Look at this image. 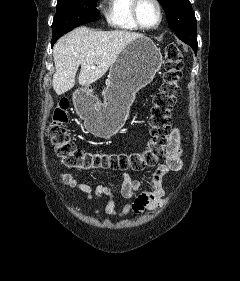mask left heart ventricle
I'll list each match as a JSON object with an SVG mask.
<instances>
[{"label": "left heart ventricle", "mask_w": 240, "mask_h": 281, "mask_svg": "<svg viewBox=\"0 0 240 281\" xmlns=\"http://www.w3.org/2000/svg\"><path fill=\"white\" fill-rule=\"evenodd\" d=\"M139 16L146 26H153L158 22L159 13L152 0H142L139 6Z\"/></svg>", "instance_id": "1"}]
</instances>
